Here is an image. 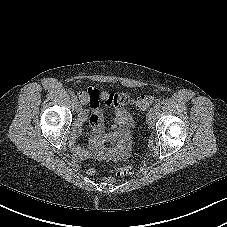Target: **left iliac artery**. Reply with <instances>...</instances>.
Masks as SVG:
<instances>
[{"mask_svg":"<svg viewBox=\"0 0 227 227\" xmlns=\"http://www.w3.org/2000/svg\"><path fill=\"white\" fill-rule=\"evenodd\" d=\"M161 106H162V101H158L156 102L154 107L156 108V110H158Z\"/></svg>","mask_w":227,"mask_h":227,"instance_id":"obj_1","label":"left iliac artery"}]
</instances>
